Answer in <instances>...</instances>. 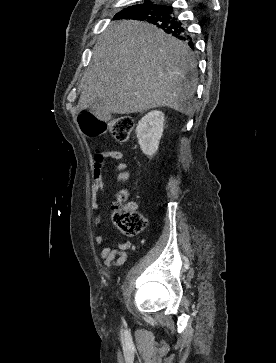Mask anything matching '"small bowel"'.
I'll return each mask as SVG.
<instances>
[{
  "label": "small bowel",
  "mask_w": 276,
  "mask_h": 363,
  "mask_svg": "<svg viewBox=\"0 0 276 363\" xmlns=\"http://www.w3.org/2000/svg\"><path fill=\"white\" fill-rule=\"evenodd\" d=\"M125 154L118 150L105 149L94 155L92 160V177L93 185L91 189V206L94 209L99 208L100 201L99 196L105 193V185L103 180L102 171L107 159L117 160L118 163L115 165V170L118 171L116 176L117 181H125L130 178V170L128 165L123 162ZM133 209L137 208V205L132 203L130 205ZM103 222V216L99 215L94 219V225L100 226ZM98 245H104L106 239L102 235H98L95 238ZM130 247L129 242H124L117 245L116 247L107 246L104 247L100 252V258L103 260L106 267L121 266L125 263L127 254L126 250Z\"/></svg>",
  "instance_id": "c3829d8e"
}]
</instances>
